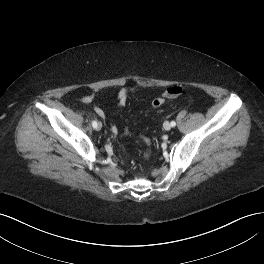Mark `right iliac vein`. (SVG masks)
Here are the masks:
<instances>
[{
  "label": "right iliac vein",
  "instance_id": "63e3f726",
  "mask_svg": "<svg viewBox=\"0 0 264 264\" xmlns=\"http://www.w3.org/2000/svg\"><path fill=\"white\" fill-rule=\"evenodd\" d=\"M101 128H102V124H101V122H98V124H97V130H101Z\"/></svg>",
  "mask_w": 264,
  "mask_h": 264
}]
</instances>
